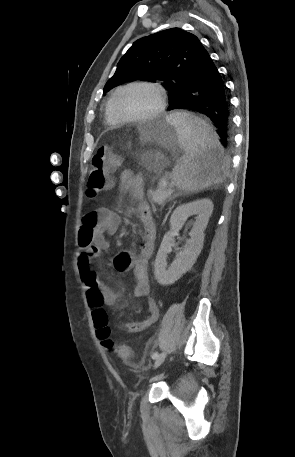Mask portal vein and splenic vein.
I'll return each mask as SVG.
<instances>
[{
	"mask_svg": "<svg viewBox=\"0 0 295 457\" xmlns=\"http://www.w3.org/2000/svg\"><path fill=\"white\" fill-rule=\"evenodd\" d=\"M160 184H161L162 186H166V185H167L166 179H161V180H160Z\"/></svg>",
	"mask_w": 295,
	"mask_h": 457,
	"instance_id": "obj_1",
	"label": "portal vein and splenic vein"
}]
</instances>
